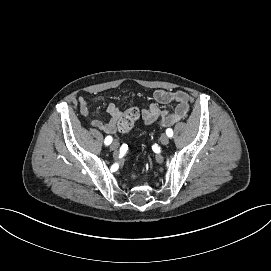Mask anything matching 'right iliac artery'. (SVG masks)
<instances>
[{
  "mask_svg": "<svg viewBox=\"0 0 271 271\" xmlns=\"http://www.w3.org/2000/svg\"><path fill=\"white\" fill-rule=\"evenodd\" d=\"M111 142H112V137L111 136H107L105 138V141H104L105 145H109V144H111Z\"/></svg>",
  "mask_w": 271,
  "mask_h": 271,
  "instance_id": "right-iliac-artery-1",
  "label": "right iliac artery"
}]
</instances>
